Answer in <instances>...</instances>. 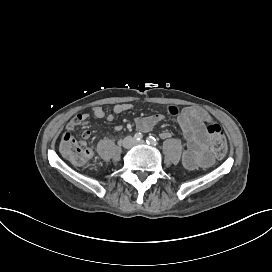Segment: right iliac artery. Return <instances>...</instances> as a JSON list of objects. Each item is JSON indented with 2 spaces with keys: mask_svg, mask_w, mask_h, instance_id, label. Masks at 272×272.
I'll return each mask as SVG.
<instances>
[{
  "mask_svg": "<svg viewBox=\"0 0 272 272\" xmlns=\"http://www.w3.org/2000/svg\"><path fill=\"white\" fill-rule=\"evenodd\" d=\"M134 139H135L136 141L142 140V139H143V134L140 133V132H137V133L134 135Z\"/></svg>",
  "mask_w": 272,
  "mask_h": 272,
  "instance_id": "obj_1",
  "label": "right iliac artery"
}]
</instances>
